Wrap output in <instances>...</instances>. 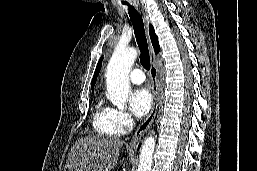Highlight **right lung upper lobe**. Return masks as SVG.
<instances>
[{
	"label": "right lung upper lobe",
	"mask_w": 257,
	"mask_h": 171,
	"mask_svg": "<svg viewBox=\"0 0 257 171\" xmlns=\"http://www.w3.org/2000/svg\"><path fill=\"white\" fill-rule=\"evenodd\" d=\"M149 31H150V38H151V41H152V45L154 47V50H155V53L157 54L159 51H160V46L158 44V37L157 35L154 33V28L152 25H149ZM102 60H103V57H101V59L99 60L98 62V65L96 67V70H95V73H94V76H93V79H92V83H91V88L93 89L94 85H95V82H96V78L100 72V68H101V64H102Z\"/></svg>",
	"instance_id": "1"
}]
</instances>
